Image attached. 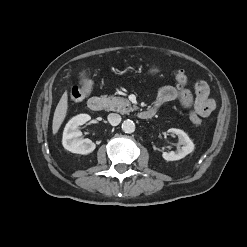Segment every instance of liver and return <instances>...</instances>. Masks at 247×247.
<instances>
[{
	"mask_svg": "<svg viewBox=\"0 0 247 247\" xmlns=\"http://www.w3.org/2000/svg\"><path fill=\"white\" fill-rule=\"evenodd\" d=\"M68 110V94L64 92L62 95L58 105L56 106L54 116H53V123H52V132L55 135L61 124L63 123Z\"/></svg>",
	"mask_w": 247,
	"mask_h": 247,
	"instance_id": "obj_1",
	"label": "liver"
}]
</instances>
